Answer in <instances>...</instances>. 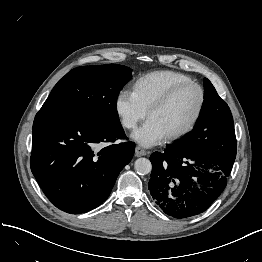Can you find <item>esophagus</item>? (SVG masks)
I'll list each match as a JSON object with an SVG mask.
<instances>
[{
    "instance_id": "1",
    "label": "esophagus",
    "mask_w": 262,
    "mask_h": 262,
    "mask_svg": "<svg viewBox=\"0 0 262 262\" xmlns=\"http://www.w3.org/2000/svg\"><path fill=\"white\" fill-rule=\"evenodd\" d=\"M135 154H136V156H144V155H147L148 152L146 150H144L142 147L136 146Z\"/></svg>"
}]
</instances>
